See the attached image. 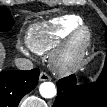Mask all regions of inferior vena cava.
Returning <instances> with one entry per match:
<instances>
[{"label":"inferior vena cava","mask_w":107,"mask_h":107,"mask_svg":"<svg viewBox=\"0 0 107 107\" xmlns=\"http://www.w3.org/2000/svg\"><path fill=\"white\" fill-rule=\"evenodd\" d=\"M14 63L19 70L33 69V63L29 59H26V58H16L14 60Z\"/></svg>","instance_id":"obj_1"}]
</instances>
